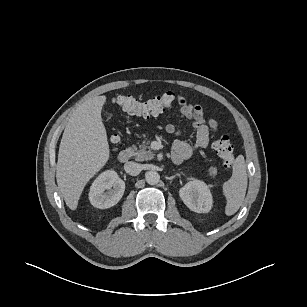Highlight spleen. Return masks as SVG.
<instances>
[{
	"instance_id": "1",
	"label": "spleen",
	"mask_w": 307,
	"mask_h": 307,
	"mask_svg": "<svg viewBox=\"0 0 307 307\" xmlns=\"http://www.w3.org/2000/svg\"><path fill=\"white\" fill-rule=\"evenodd\" d=\"M247 171L243 155L236 157L233 163L231 178L223 184V194L226 197L225 214L231 216L240 208L247 189Z\"/></svg>"
}]
</instances>
